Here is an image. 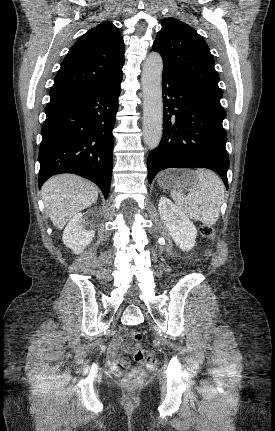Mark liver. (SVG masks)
I'll list each match as a JSON object with an SVG mask.
<instances>
[{"instance_id": "obj_1", "label": "liver", "mask_w": 275, "mask_h": 431, "mask_svg": "<svg viewBox=\"0 0 275 431\" xmlns=\"http://www.w3.org/2000/svg\"><path fill=\"white\" fill-rule=\"evenodd\" d=\"M41 193L49 217L58 229L98 199L97 188L91 182L71 174L50 178Z\"/></svg>"}]
</instances>
